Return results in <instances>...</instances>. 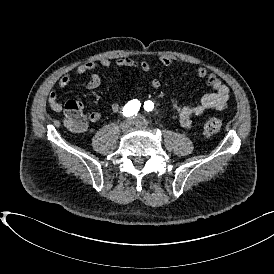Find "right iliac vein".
I'll return each mask as SVG.
<instances>
[{
	"instance_id": "63e3f726",
	"label": "right iliac vein",
	"mask_w": 274,
	"mask_h": 274,
	"mask_svg": "<svg viewBox=\"0 0 274 274\" xmlns=\"http://www.w3.org/2000/svg\"><path fill=\"white\" fill-rule=\"evenodd\" d=\"M133 125H134V120L131 118H128L120 124V128L122 129V131H127L131 129Z\"/></svg>"
}]
</instances>
